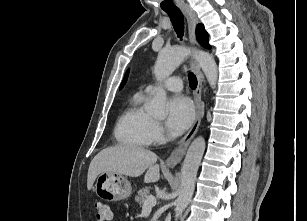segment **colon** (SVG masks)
Returning a JSON list of instances; mask_svg holds the SVG:
<instances>
[{
	"label": "colon",
	"mask_w": 307,
	"mask_h": 221,
	"mask_svg": "<svg viewBox=\"0 0 307 221\" xmlns=\"http://www.w3.org/2000/svg\"><path fill=\"white\" fill-rule=\"evenodd\" d=\"M96 216L99 221H109L113 218V212L108 203L97 201L95 203Z\"/></svg>",
	"instance_id": "1"
}]
</instances>
